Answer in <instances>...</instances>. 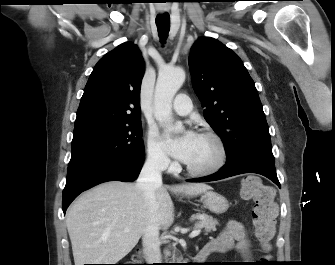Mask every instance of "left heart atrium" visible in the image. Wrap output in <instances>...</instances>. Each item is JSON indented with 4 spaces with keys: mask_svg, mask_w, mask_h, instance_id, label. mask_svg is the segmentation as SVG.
<instances>
[{
    "mask_svg": "<svg viewBox=\"0 0 335 265\" xmlns=\"http://www.w3.org/2000/svg\"><path fill=\"white\" fill-rule=\"evenodd\" d=\"M198 135L193 131H186L181 137L173 138L168 132L165 135L168 151L175 158L187 162L190 158Z\"/></svg>",
    "mask_w": 335,
    "mask_h": 265,
    "instance_id": "1",
    "label": "left heart atrium"
}]
</instances>
